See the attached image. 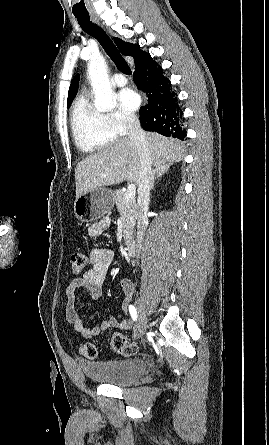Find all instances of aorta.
<instances>
[{
  "label": "aorta",
  "mask_w": 269,
  "mask_h": 445,
  "mask_svg": "<svg viewBox=\"0 0 269 445\" xmlns=\"http://www.w3.org/2000/svg\"><path fill=\"white\" fill-rule=\"evenodd\" d=\"M88 73L95 93V107L100 112L111 111L116 100L109 83L105 59L101 55L91 57Z\"/></svg>",
  "instance_id": "1"
}]
</instances>
